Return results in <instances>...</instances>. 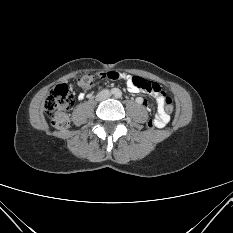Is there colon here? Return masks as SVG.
<instances>
[{"label": "colon", "mask_w": 233, "mask_h": 233, "mask_svg": "<svg viewBox=\"0 0 233 233\" xmlns=\"http://www.w3.org/2000/svg\"><path fill=\"white\" fill-rule=\"evenodd\" d=\"M106 74V73H105ZM95 81V76L92 74H85L78 79V84L84 88L89 89ZM132 82L137 88L151 93L153 95H162L165 101V111L172 113L174 110L172 100L165 96L159 84L147 80L139 76H133ZM73 106V94L66 84L57 85L49 94L45 101V112L52 118V125L57 130H66L69 127V119L66 113ZM156 124L155 118L149 120L147 126L154 128Z\"/></svg>", "instance_id": "1"}]
</instances>
